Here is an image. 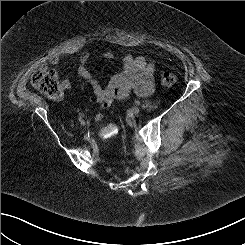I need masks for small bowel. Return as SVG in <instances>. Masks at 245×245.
<instances>
[{
	"mask_svg": "<svg viewBox=\"0 0 245 245\" xmlns=\"http://www.w3.org/2000/svg\"><path fill=\"white\" fill-rule=\"evenodd\" d=\"M89 57L87 52L81 54V65L78 69V74L91 85L93 93L100 103V108L95 114L96 120L102 119L104 111L115 99H125L132 93L145 97L153 92L155 76L154 66L150 60L144 57L125 56L122 62V69L113 75L106 86H102L85 66ZM106 58H110V55H106ZM58 62V56H53L50 59L52 65H56ZM61 87L63 91H70V81L67 79L63 80Z\"/></svg>",
	"mask_w": 245,
	"mask_h": 245,
	"instance_id": "obj_1",
	"label": "small bowel"
}]
</instances>
